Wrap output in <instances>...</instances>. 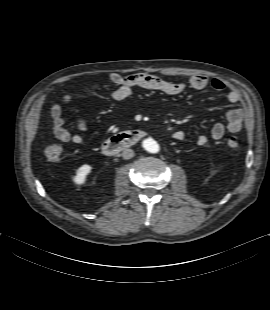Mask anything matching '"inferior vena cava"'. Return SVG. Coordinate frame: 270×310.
Returning <instances> with one entry per match:
<instances>
[{
    "label": "inferior vena cava",
    "mask_w": 270,
    "mask_h": 310,
    "mask_svg": "<svg viewBox=\"0 0 270 310\" xmlns=\"http://www.w3.org/2000/svg\"><path fill=\"white\" fill-rule=\"evenodd\" d=\"M134 156V152L132 149H124L122 152V157L125 160L131 159Z\"/></svg>",
    "instance_id": "1"
}]
</instances>
